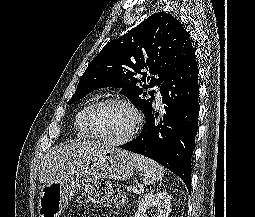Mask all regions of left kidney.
<instances>
[{
	"mask_svg": "<svg viewBox=\"0 0 255 217\" xmlns=\"http://www.w3.org/2000/svg\"><path fill=\"white\" fill-rule=\"evenodd\" d=\"M149 208H156L154 217H169L171 211V198L166 191L145 194L138 204V210L134 217H147Z\"/></svg>",
	"mask_w": 255,
	"mask_h": 217,
	"instance_id": "obj_1",
	"label": "left kidney"
}]
</instances>
